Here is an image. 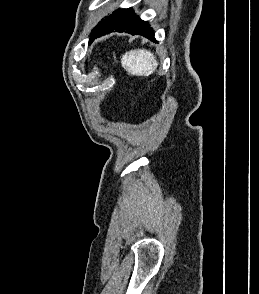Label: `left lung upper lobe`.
I'll list each match as a JSON object with an SVG mask.
<instances>
[{
	"label": "left lung upper lobe",
	"instance_id": "5c2ea615",
	"mask_svg": "<svg viewBox=\"0 0 259 294\" xmlns=\"http://www.w3.org/2000/svg\"><path fill=\"white\" fill-rule=\"evenodd\" d=\"M106 18H107V17H106ZM103 22H104V20H102V21L99 23V25H97V26L95 27V29L92 30L91 38H90V42L92 41V38H93V36H94V33L96 32V30L100 27V25H101Z\"/></svg>",
	"mask_w": 259,
	"mask_h": 294
}]
</instances>
